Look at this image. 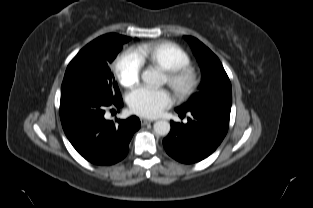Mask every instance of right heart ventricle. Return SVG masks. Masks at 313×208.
Segmentation results:
<instances>
[{
	"label": "right heart ventricle",
	"instance_id": "1",
	"mask_svg": "<svg viewBox=\"0 0 313 208\" xmlns=\"http://www.w3.org/2000/svg\"><path fill=\"white\" fill-rule=\"evenodd\" d=\"M136 53L143 63H149L164 71L173 70L188 65V53L176 43L159 41L143 44L137 47Z\"/></svg>",
	"mask_w": 313,
	"mask_h": 208
}]
</instances>
